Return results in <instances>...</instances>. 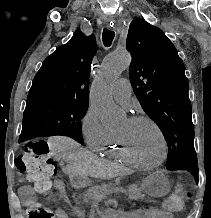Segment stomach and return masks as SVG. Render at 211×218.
Returning a JSON list of instances; mask_svg holds the SVG:
<instances>
[{
  "instance_id": "stomach-1",
  "label": "stomach",
  "mask_w": 211,
  "mask_h": 218,
  "mask_svg": "<svg viewBox=\"0 0 211 218\" xmlns=\"http://www.w3.org/2000/svg\"><path fill=\"white\" fill-rule=\"evenodd\" d=\"M81 184L88 185L89 181L86 177L81 178ZM170 183L168 178L161 172H155L148 176L141 184V190L150 196L161 197L168 193Z\"/></svg>"
}]
</instances>
